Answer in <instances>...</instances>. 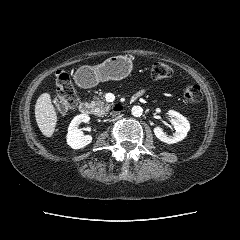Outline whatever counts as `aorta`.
<instances>
[{"mask_svg": "<svg viewBox=\"0 0 240 240\" xmlns=\"http://www.w3.org/2000/svg\"><path fill=\"white\" fill-rule=\"evenodd\" d=\"M131 113L134 117H140L143 113V109L140 106H133Z\"/></svg>", "mask_w": 240, "mask_h": 240, "instance_id": "1", "label": "aorta"}]
</instances>
